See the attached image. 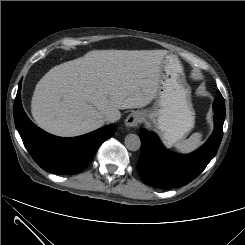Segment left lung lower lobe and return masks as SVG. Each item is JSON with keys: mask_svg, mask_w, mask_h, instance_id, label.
Segmentation results:
<instances>
[{"mask_svg": "<svg viewBox=\"0 0 245 245\" xmlns=\"http://www.w3.org/2000/svg\"><path fill=\"white\" fill-rule=\"evenodd\" d=\"M218 91L213 103L214 132L208 141L197 151L179 155L167 151L152 133L141 129V152L137 169L147 184L161 189L181 187L195 179L216 155L223 136L225 111H222Z\"/></svg>", "mask_w": 245, "mask_h": 245, "instance_id": "obj_1", "label": "left lung lower lobe"}]
</instances>
